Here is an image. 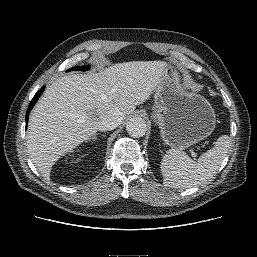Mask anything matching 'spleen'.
Masks as SVG:
<instances>
[{"mask_svg":"<svg viewBox=\"0 0 257 257\" xmlns=\"http://www.w3.org/2000/svg\"><path fill=\"white\" fill-rule=\"evenodd\" d=\"M230 146V137L222 135L214 146L198 160H192L185 152L171 149L161 161L163 184L172 188H191L211 179L219 169Z\"/></svg>","mask_w":257,"mask_h":257,"instance_id":"1","label":"spleen"}]
</instances>
